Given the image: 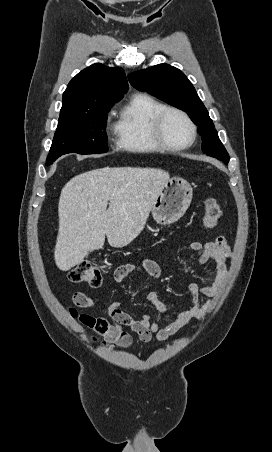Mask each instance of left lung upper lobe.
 <instances>
[{"mask_svg": "<svg viewBox=\"0 0 272 452\" xmlns=\"http://www.w3.org/2000/svg\"><path fill=\"white\" fill-rule=\"evenodd\" d=\"M129 82L140 91L187 112L198 126L202 137V151L208 156L229 161V154L221 143L208 111L192 83L183 72L168 64H159L128 75Z\"/></svg>", "mask_w": 272, "mask_h": 452, "instance_id": "obj_1", "label": "left lung upper lobe"}]
</instances>
